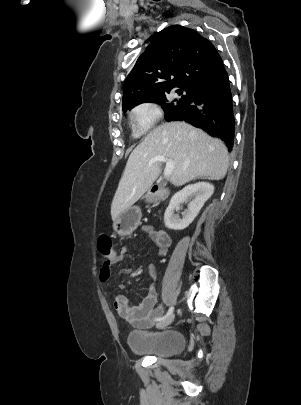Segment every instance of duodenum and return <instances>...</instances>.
Masks as SVG:
<instances>
[{
	"mask_svg": "<svg viewBox=\"0 0 301 405\" xmlns=\"http://www.w3.org/2000/svg\"><path fill=\"white\" fill-rule=\"evenodd\" d=\"M145 195L149 206H156L159 208L163 204L162 199H165L168 196V191L160 186H154L151 190H147ZM159 232L161 233L163 240L168 239V236L164 232Z\"/></svg>",
	"mask_w": 301,
	"mask_h": 405,
	"instance_id": "obj_1",
	"label": "duodenum"
}]
</instances>
